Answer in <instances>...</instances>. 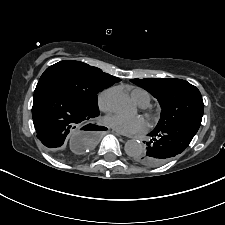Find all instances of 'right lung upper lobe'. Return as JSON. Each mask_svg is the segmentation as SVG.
Segmentation results:
<instances>
[{
    "label": "right lung upper lobe",
    "mask_w": 225,
    "mask_h": 225,
    "mask_svg": "<svg viewBox=\"0 0 225 225\" xmlns=\"http://www.w3.org/2000/svg\"><path fill=\"white\" fill-rule=\"evenodd\" d=\"M96 69H97V72H98L99 74H101L104 78H106V79H108L109 81H111L112 84L117 83V82L120 81L119 78L114 77V76H111V75H109V74H107V73H104V72H102V70H100V69H98V68H96Z\"/></svg>",
    "instance_id": "1"
}]
</instances>
